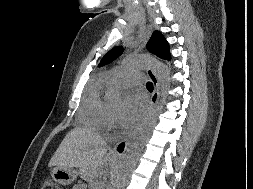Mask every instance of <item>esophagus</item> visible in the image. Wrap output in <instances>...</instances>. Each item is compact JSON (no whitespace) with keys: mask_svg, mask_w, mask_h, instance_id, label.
Segmentation results:
<instances>
[{"mask_svg":"<svg viewBox=\"0 0 253 189\" xmlns=\"http://www.w3.org/2000/svg\"><path fill=\"white\" fill-rule=\"evenodd\" d=\"M147 75L150 77L153 86H154V90L153 93L150 97V108H149V112L147 114V117L149 116V114L153 111V109L155 108L158 99H159V81L158 78L155 74V72L152 69L147 70ZM146 117V118H147ZM145 118V120H146ZM142 124H140L132 133H130L126 138H124L122 141H120L119 143H117L115 145V147L113 148V153L116 155H123L125 153V151L127 150V147L129 146L131 140L133 139V137L137 134V132L140 130Z\"/></svg>","mask_w":253,"mask_h":189,"instance_id":"esophagus-1","label":"esophagus"}]
</instances>
